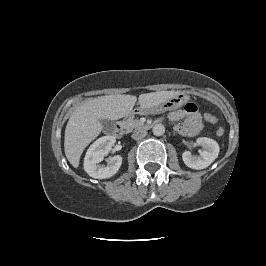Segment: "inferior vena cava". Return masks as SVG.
<instances>
[{
    "label": "inferior vena cava",
    "mask_w": 266,
    "mask_h": 266,
    "mask_svg": "<svg viewBox=\"0 0 266 266\" xmlns=\"http://www.w3.org/2000/svg\"><path fill=\"white\" fill-rule=\"evenodd\" d=\"M147 135V131L140 128V129H136L133 134H132V138L135 140H140L142 138H144Z\"/></svg>",
    "instance_id": "inferior-vena-cava-1"
}]
</instances>
